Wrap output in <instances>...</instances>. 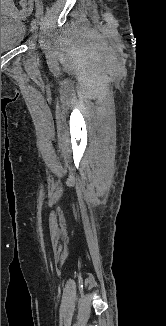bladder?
Returning a JSON list of instances; mask_svg holds the SVG:
<instances>
[{"label":"bladder","mask_w":166,"mask_h":326,"mask_svg":"<svg viewBox=\"0 0 166 326\" xmlns=\"http://www.w3.org/2000/svg\"><path fill=\"white\" fill-rule=\"evenodd\" d=\"M26 27L18 17L1 14V52L17 48L23 41Z\"/></svg>","instance_id":"obj_1"}]
</instances>
